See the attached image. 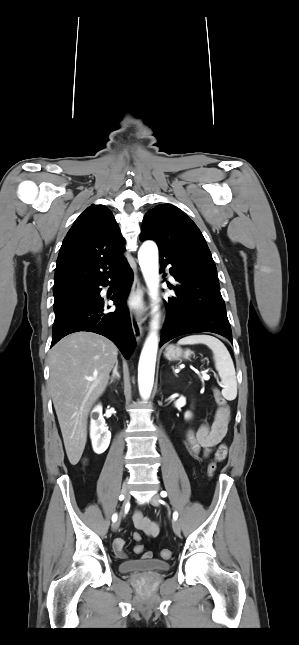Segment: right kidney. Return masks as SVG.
<instances>
[{
	"mask_svg": "<svg viewBox=\"0 0 299 645\" xmlns=\"http://www.w3.org/2000/svg\"><path fill=\"white\" fill-rule=\"evenodd\" d=\"M90 438L93 450L97 454L105 452L111 440V432L105 425V419L102 416V406L100 404L92 411Z\"/></svg>",
	"mask_w": 299,
	"mask_h": 645,
	"instance_id": "1",
	"label": "right kidney"
}]
</instances>
